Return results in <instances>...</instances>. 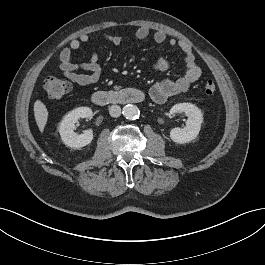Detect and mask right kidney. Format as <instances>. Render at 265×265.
<instances>
[{"label": "right kidney", "mask_w": 265, "mask_h": 265, "mask_svg": "<svg viewBox=\"0 0 265 265\" xmlns=\"http://www.w3.org/2000/svg\"><path fill=\"white\" fill-rule=\"evenodd\" d=\"M92 110L89 107H78L66 114L59 125V133L63 143L71 148L80 149L89 145L93 140L92 130H86L83 134L77 135L74 132L75 123L80 118H90Z\"/></svg>", "instance_id": "1"}]
</instances>
